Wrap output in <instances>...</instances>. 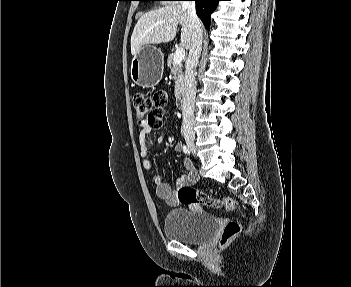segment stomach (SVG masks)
<instances>
[{"label": "stomach", "instance_id": "0dacf381", "mask_svg": "<svg viewBox=\"0 0 351 287\" xmlns=\"http://www.w3.org/2000/svg\"><path fill=\"white\" fill-rule=\"evenodd\" d=\"M164 55L160 49L144 45L131 61V78L143 88L156 86L162 79Z\"/></svg>", "mask_w": 351, "mask_h": 287}]
</instances>
